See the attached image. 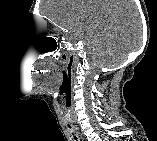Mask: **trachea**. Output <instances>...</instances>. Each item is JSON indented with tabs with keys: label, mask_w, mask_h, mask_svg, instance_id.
Here are the masks:
<instances>
[{
	"label": "trachea",
	"mask_w": 157,
	"mask_h": 141,
	"mask_svg": "<svg viewBox=\"0 0 157 141\" xmlns=\"http://www.w3.org/2000/svg\"><path fill=\"white\" fill-rule=\"evenodd\" d=\"M74 139H76V140H77L76 136H74Z\"/></svg>",
	"instance_id": "1"
}]
</instances>
